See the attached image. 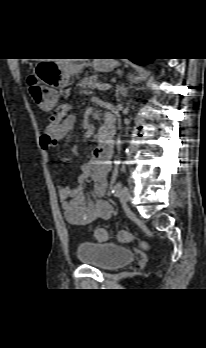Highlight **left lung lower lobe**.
Returning <instances> with one entry per match:
<instances>
[{
  "mask_svg": "<svg viewBox=\"0 0 206 348\" xmlns=\"http://www.w3.org/2000/svg\"><path fill=\"white\" fill-rule=\"evenodd\" d=\"M133 62L137 63V64H144V63H148L150 61H152V59H142V58H134V59H130Z\"/></svg>",
  "mask_w": 206,
  "mask_h": 348,
  "instance_id": "obj_1",
  "label": "left lung lower lobe"
}]
</instances>
